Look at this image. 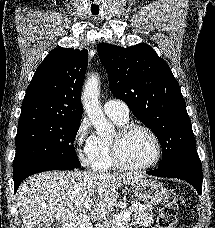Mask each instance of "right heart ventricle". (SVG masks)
I'll return each mask as SVG.
<instances>
[{"mask_svg":"<svg viewBox=\"0 0 215 228\" xmlns=\"http://www.w3.org/2000/svg\"><path fill=\"white\" fill-rule=\"evenodd\" d=\"M111 121L120 127L128 123V119H123L116 115H109ZM89 165L95 171H110L115 169V164L111 155V137L94 136L91 144V154Z\"/></svg>","mask_w":215,"mask_h":228,"instance_id":"obj_1","label":"right heart ventricle"}]
</instances>
